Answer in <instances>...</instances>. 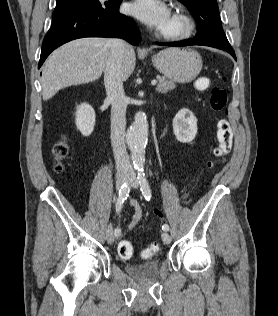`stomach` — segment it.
I'll return each mask as SVG.
<instances>
[{
  "mask_svg": "<svg viewBox=\"0 0 278 316\" xmlns=\"http://www.w3.org/2000/svg\"><path fill=\"white\" fill-rule=\"evenodd\" d=\"M152 61L162 75L180 83L191 82L202 69V59L192 49L168 48L153 56Z\"/></svg>",
  "mask_w": 278,
  "mask_h": 316,
  "instance_id": "0dacf381",
  "label": "stomach"
}]
</instances>
